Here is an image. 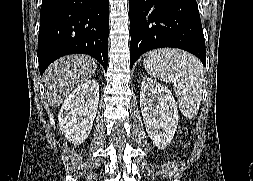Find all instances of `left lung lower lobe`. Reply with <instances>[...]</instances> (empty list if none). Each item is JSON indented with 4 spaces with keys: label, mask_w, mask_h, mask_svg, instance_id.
I'll return each mask as SVG.
<instances>
[{
    "label": "left lung lower lobe",
    "mask_w": 253,
    "mask_h": 181,
    "mask_svg": "<svg viewBox=\"0 0 253 181\" xmlns=\"http://www.w3.org/2000/svg\"><path fill=\"white\" fill-rule=\"evenodd\" d=\"M130 67L160 47L184 49L205 65V41L196 0H129Z\"/></svg>",
    "instance_id": "left-lung-lower-lobe-1"
}]
</instances>
